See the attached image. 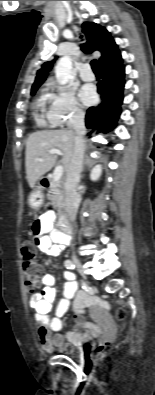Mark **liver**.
<instances>
[{"instance_id":"6515ba94","label":"liver","mask_w":155,"mask_h":395,"mask_svg":"<svg viewBox=\"0 0 155 395\" xmlns=\"http://www.w3.org/2000/svg\"><path fill=\"white\" fill-rule=\"evenodd\" d=\"M75 137L76 134L71 130L38 131L28 137L25 167L31 188L55 165L57 156L49 153L51 149H59L63 152L61 163L66 171L74 152Z\"/></svg>"}]
</instances>
